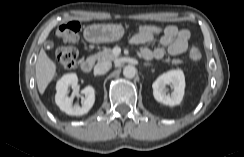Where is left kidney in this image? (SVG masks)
<instances>
[{
	"mask_svg": "<svg viewBox=\"0 0 244 157\" xmlns=\"http://www.w3.org/2000/svg\"><path fill=\"white\" fill-rule=\"evenodd\" d=\"M167 85L172 92L167 94ZM154 98L165 105H179L184 96L185 77L182 70H171L160 75L152 84Z\"/></svg>",
	"mask_w": 244,
	"mask_h": 157,
	"instance_id": "left-kidney-1",
	"label": "left kidney"
}]
</instances>
